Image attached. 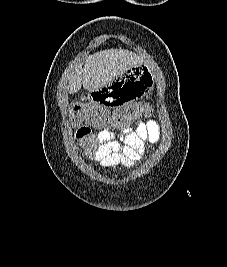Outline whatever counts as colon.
<instances>
[{
    "instance_id": "1",
    "label": "colon",
    "mask_w": 227,
    "mask_h": 267,
    "mask_svg": "<svg viewBox=\"0 0 227 267\" xmlns=\"http://www.w3.org/2000/svg\"><path fill=\"white\" fill-rule=\"evenodd\" d=\"M99 106L102 104L77 102L71 109L72 118L76 123L87 120L95 130H124V125H133V120L126 119L156 114V111L148 110L147 105H129L126 110H113V114H110V110H100Z\"/></svg>"
}]
</instances>
